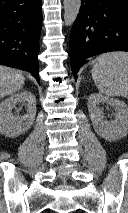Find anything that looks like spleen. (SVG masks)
Returning a JSON list of instances; mask_svg holds the SVG:
<instances>
[{
  "label": "spleen",
  "mask_w": 128,
  "mask_h": 213,
  "mask_svg": "<svg viewBox=\"0 0 128 213\" xmlns=\"http://www.w3.org/2000/svg\"><path fill=\"white\" fill-rule=\"evenodd\" d=\"M92 78L98 90L108 97L128 98V53L111 52L93 61Z\"/></svg>",
  "instance_id": "obj_1"
}]
</instances>
